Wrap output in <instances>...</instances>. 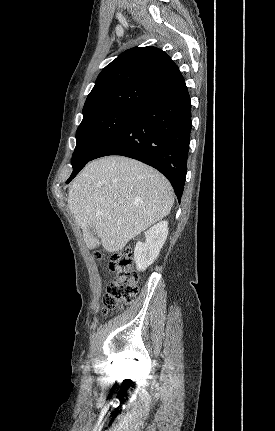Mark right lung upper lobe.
<instances>
[{
	"mask_svg": "<svg viewBox=\"0 0 275 431\" xmlns=\"http://www.w3.org/2000/svg\"><path fill=\"white\" fill-rule=\"evenodd\" d=\"M184 78L176 64L156 47H135L120 54L99 74L83 116L113 108L138 109Z\"/></svg>",
	"mask_w": 275,
	"mask_h": 431,
	"instance_id": "cb5924a9",
	"label": "right lung upper lobe"
}]
</instances>
